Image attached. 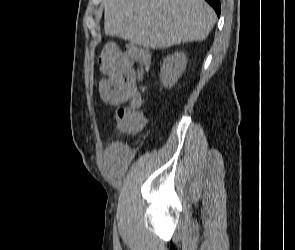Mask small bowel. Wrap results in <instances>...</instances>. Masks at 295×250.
Segmentation results:
<instances>
[{"instance_id": "obj_1", "label": "small bowel", "mask_w": 295, "mask_h": 250, "mask_svg": "<svg viewBox=\"0 0 295 250\" xmlns=\"http://www.w3.org/2000/svg\"><path fill=\"white\" fill-rule=\"evenodd\" d=\"M150 60V54L146 50H138L120 60L106 73L107 76L99 81L101 98L113 106L127 103L140 105L142 97L138 84L148 71ZM121 153L119 144H112L107 150V155L113 159L110 165L113 173L120 172Z\"/></svg>"}]
</instances>
